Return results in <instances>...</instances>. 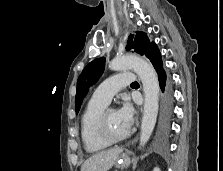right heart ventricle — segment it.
<instances>
[{"label": "right heart ventricle", "instance_id": "1", "mask_svg": "<svg viewBox=\"0 0 223 171\" xmlns=\"http://www.w3.org/2000/svg\"><path fill=\"white\" fill-rule=\"evenodd\" d=\"M106 108V104L91 98L80 119V136L83 147L88 153H98L107 148L96 134V122L100 113Z\"/></svg>", "mask_w": 223, "mask_h": 171}]
</instances>
